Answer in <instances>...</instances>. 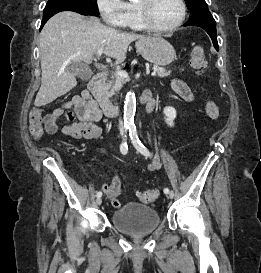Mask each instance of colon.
<instances>
[{"mask_svg": "<svg viewBox=\"0 0 261 273\" xmlns=\"http://www.w3.org/2000/svg\"><path fill=\"white\" fill-rule=\"evenodd\" d=\"M206 56L202 46L194 45L191 49L190 66L197 74H201L206 68ZM205 110L210 119L217 120L220 117L218 104L213 100H208ZM29 124L32 134L36 138L43 135L44 116L40 109H33L29 115ZM138 198L144 203H152L159 197L157 189H148L137 192Z\"/></svg>", "mask_w": 261, "mask_h": 273, "instance_id": "obj_1", "label": "colon"}]
</instances>
